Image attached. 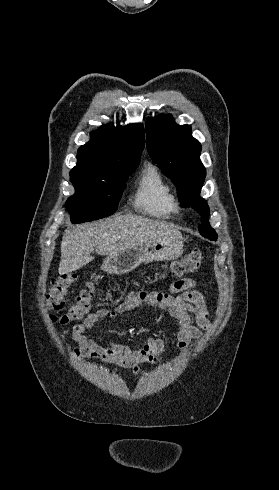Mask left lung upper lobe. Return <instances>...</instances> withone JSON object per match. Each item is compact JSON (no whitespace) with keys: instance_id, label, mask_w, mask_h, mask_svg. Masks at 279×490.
Returning a JSON list of instances; mask_svg holds the SVG:
<instances>
[{"instance_id":"obj_1","label":"left lung upper lobe","mask_w":279,"mask_h":490,"mask_svg":"<svg viewBox=\"0 0 279 490\" xmlns=\"http://www.w3.org/2000/svg\"><path fill=\"white\" fill-rule=\"evenodd\" d=\"M147 123L149 155L177 186L182 206L192 207L201 215L200 234L216 240L217 234L208 221L209 207L199 196L206 170L200 161L201 144L192 137L191 127L175 124L171 115H159Z\"/></svg>"}]
</instances>
